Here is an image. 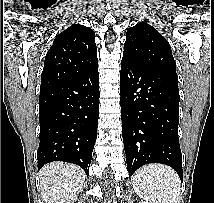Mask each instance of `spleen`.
Segmentation results:
<instances>
[{
	"instance_id": "obj_1",
	"label": "spleen",
	"mask_w": 214,
	"mask_h": 203,
	"mask_svg": "<svg viewBox=\"0 0 214 203\" xmlns=\"http://www.w3.org/2000/svg\"><path fill=\"white\" fill-rule=\"evenodd\" d=\"M136 194L150 203H179L180 179L168 166L151 164L133 177Z\"/></svg>"
}]
</instances>
